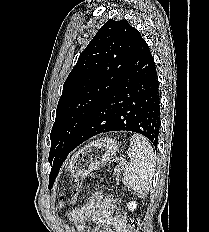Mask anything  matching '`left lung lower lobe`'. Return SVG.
Listing matches in <instances>:
<instances>
[{
  "label": "left lung lower lobe",
  "instance_id": "left-lung-lower-lobe-1",
  "mask_svg": "<svg viewBox=\"0 0 209 232\" xmlns=\"http://www.w3.org/2000/svg\"><path fill=\"white\" fill-rule=\"evenodd\" d=\"M160 124L156 66L148 44L141 38L128 69L78 132L71 149L110 131L142 134L157 148Z\"/></svg>",
  "mask_w": 209,
  "mask_h": 232
}]
</instances>
